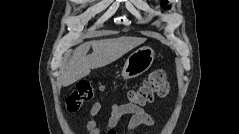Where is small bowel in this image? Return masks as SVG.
Returning <instances> with one entry per match:
<instances>
[{
    "instance_id": "c3829d8e",
    "label": "small bowel",
    "mask_w": 239,
    "mask_h": 134,
    "mask_svg": "<svg viewBox=\"0 0 239 134\" xmlns=\"http://www.w3.org/2000/svg\"><path fill=\"white\" fill-rule=\"evenodd\" d=\"M103 108L102 103H94L90 110L85 130L87 134H116L115 127L119 121L125 116L130 115L131 118L127 125L128 134H134L135 129L140 125L152 126L154 124V118L148 114L143 108L131 103L114 104L111 107L110 118L106 125L98 126L95 117L99 114Z\"/></svg>"
}]
</instances>
